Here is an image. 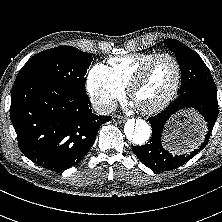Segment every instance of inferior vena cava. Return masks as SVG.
I'll use <instances>...</instances> for the list:
<instances>
[{
    "mask_svg": "<svg viewBox=\"0 0 222 222\" xmlns=\"http://www.w3.org/2000/svg\"><path fill=\"white\" fill-rule=\"evenodd\" d=\"M116 103L108 102V103H95L93 108L95 112L99 115H109L116 109Z\"/></svg>",
    "mask_w": 222,
    "mask_h": 222,
    "instance_id": "inferior-vena-cava-1",
    "label": "inferior vena cava"
}]
</instances>
